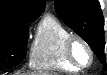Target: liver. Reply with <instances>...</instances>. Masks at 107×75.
<instances>
[{
	"label": "liver",
	"mask_w": 107,
	"mask_h": 75,
	"mask_svg": "<svg viewBox=\"0 0 107 75\" xmlns=\"http://www.w3.org/2000/svg\"><path fill=\"white\" fill-rule=\"evenodd\" d=\"M15 75H46V74H42L40 72H30V73H26V74H20L19 72L16 73Z\"/></svg>",
	"instance_id": "1"
}]
</instances>
